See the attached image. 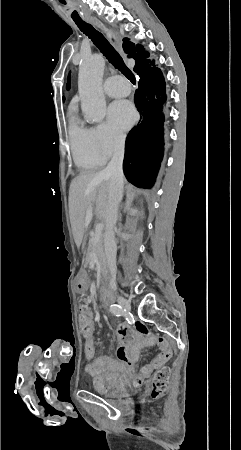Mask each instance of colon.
<instances>
[{
	"label": "colon",
	"mask_w": 241,
	"mask_h": 450,
	"mask_svg": "<svg viewBox=\"0 0 241 450\" xmlns=\"http://www.w3.org/2000/svg\"><path fill=\"white\" fill-rule=\"evenodd\" d=\"M79 334L85 336L93 335V318L91 316H86L84 322L79 324ZM172 373L173 370L170 367L165 368L164 373L155 371L149 390L151 399L158 400L164 395V392L168 388L169 376L172 375Z\"/></svg>",
	"instance_id": "5ec220e1"
}]
</instances>
